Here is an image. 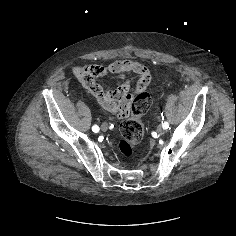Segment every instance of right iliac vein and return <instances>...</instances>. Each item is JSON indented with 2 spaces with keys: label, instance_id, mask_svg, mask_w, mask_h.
<instances>
[{
  "label": "right iliac vein",
  "instance_id": "right-iliac-vein-1",
  "mask_svg": "<svg viewBox=\"0 0 236 236\" xmlns=\"http://www.w3.org/2000/svg\"><path fill=\"white\" fill-rule=\"evenodd\" d=\"M101 129H102L103 131H107V129H108V124H107V123H103V124L101 125Z\"/></svg>",
  "mask_w": 236,
  "mask_h": 236
}]
</instances>
